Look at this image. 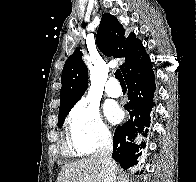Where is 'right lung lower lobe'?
Returning a JSON list of instances; mask_svg holds the SVG:
<instances>
[{
  "label": "right lung lower lobe",
  "instance_id": "obj_1",
  "mask_svg": "<svg viewBox=\"0 0 196 182\" xmlns=\"http://www.w3.org/2000/svg\"><path fill=\"white\" fill-rule=\"evenodd\" d=\"M124 78L129 96V102L124 108L129 112L130 119L116 128L112 157L122 168L128 169L137 164L136 154L141 155L139 151L145 147L143 142L136 145L131 141L140 134L147 136L151 108L155 106V75L149 56L128 71Z\"/></svg>",
  "mask_w": 196,
  "mask_h": 182
}]
</instances>
